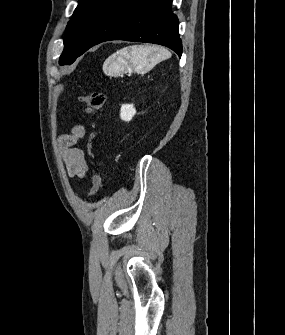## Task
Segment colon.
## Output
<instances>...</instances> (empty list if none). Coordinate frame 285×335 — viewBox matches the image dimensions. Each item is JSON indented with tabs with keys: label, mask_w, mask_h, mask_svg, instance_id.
I'll list each match as a JSON object with an SVG mask.
<instances>
[{
	"label": "colon",
	"mask_w": 285,
	"mask_h": 335,
	"mask_svg": "<svg viewBox=\"0 0 285 335\" xmlns=\"http://www.w3.org/2000/svg\"><path fill=\"white\" fill-rule=\"evenodd\" d=\"M79 100L85 105V112L88 115H93L100 111L105 103V95L101 92H91L83 94ZM102 188V181L99 173L94 170L91 174V190L90 197H95Z\"/></svg>",
	"instance_id": "5ec220e1"
}]
</instances>
